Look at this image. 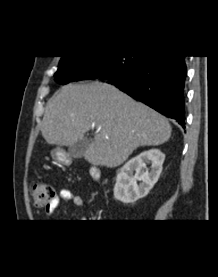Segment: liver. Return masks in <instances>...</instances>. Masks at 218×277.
Returning a JSON list of instances; mask_svg holds the SVG:
<instances>
[{
    "instance_id": "1",
    "label": "liver",
    "mask_w": 218,
    "mask_h": 277,
    "mask_svg": "<svg viewBox=\"0 0 218 277\" xmlns=\"http://www.w3.org/2000/svg\"><path fill=\"white\" fill-rule=\"evenodd\" d=\"M94 141L84 153L92 165H121L139 146H157L171 136L164 116L116 87L98 81L62 87L48 101L41 133L50 145L71 146L91 127Z\"/></svg>"
}]
</instances>
